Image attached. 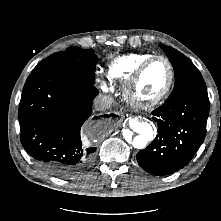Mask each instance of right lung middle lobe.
<instances>
[{
	"label": "right lung middle lobe",
	"instance_id": "obj_1",
	"mask_svg": "<svg viewBox=\"0 0 221 221\" xmlns=\"http://www.w3.org/2000/svg\"><path fill=\"white\" fill-rule=\"evenodd\" d=\"M96 64L97 57L92 49L68 47L66 51L50 55L33 70L50 67L72 78L94 84Z\"/></svg>",
	"mask_w": 221,
	"mask_h": 221
}]
</instances>
